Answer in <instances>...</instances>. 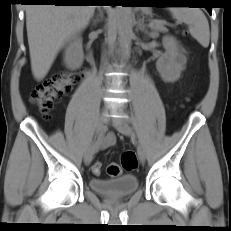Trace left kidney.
<instances>
[{"label": "left kidney", "instance_id": "obj_1", "mask_svg": "<svg viewBox=\"0 0 231 231\" xmlns=\"http://www.w3.org/2000/svg\"><path fill=\"white\" fill-rule=\"evenodd\" d=\"M162 44L165 53L156 62L157 71L165 82L173 83L180 78L187 58L174 37L165 36Z\"/></svg>", "mask_w": 231, "mask_h": 231}]
</instances>
